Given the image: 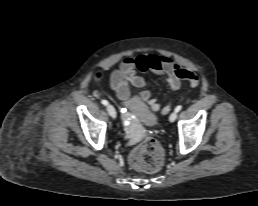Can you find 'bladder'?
Returning <instances> with one entry per match:
<instances>
[{
    "label": "bladder",
    "instance_id": "31cf9c89",
    "mask_svg": "<svg viewBox=\"0 0 258 206\" xmlns=\"http://www.w3.org/2000/svg\"><path fill=\"white\" fill-rule=\"evenodd\" d=\"M125 107L135 114L144 125L154 126L157 123V115L153 112L147 103L138 97L127 98L124 102Z\"/></svg>",
    "mask_w": 258,
    "mask_h": 206
}]
</instances>
